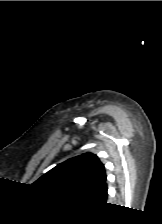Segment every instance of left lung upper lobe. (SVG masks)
<instances>
[{
	"instance_id": "5c2ea615",
	"label": "left lung upper lobe",
	"mask_w": 162,
	"mask_h": 224,
	"mask_svg": "<svg viewBox=\"0 0 162 224\" xmlns=\"http://www.w3.org/2000/svg\"><path fill=\"white\" fill-rule=\"evenodd\" d=\"M105 182L104 165L96 155L86 153L58 164L33 185L59 196L87 199Z\"/></svg>"
}]
</instances>
